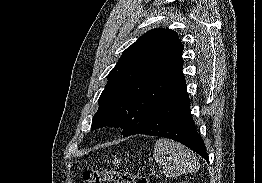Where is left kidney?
Returning <instances> with one entry per match:
<instances>
[{
	"label": "left kidney",
	"mask_w": 262,
	"mask_h": 183,
	"mask_svg": "<svg viewBox=\"0 0 262 183\" xmlns=\"http://www.w3.org/2000/svg\"><path fill=\"white\" fill-rule=\"evenodd\" d=\"M181 183H188V182L185 181V182H181Z\"/></svg>",
	"instance_id": "1"
}]
</instances>
